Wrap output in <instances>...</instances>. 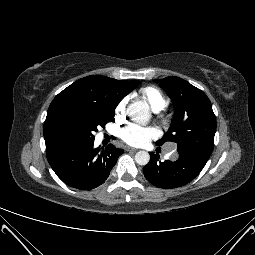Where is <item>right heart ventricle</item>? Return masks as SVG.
Returning <instances> with one entry per match:
<instances>
[{
    "mask_svg": "<svg viewBox=\"0 0 255 255\" xmlns=\"http://www.w3.org/2000/svg\"><path fill=\"white\" fill-rule=\"evenodd\" d=\"M140 97L145 100L154 111H160L168 104L167 98L157 88L147 86L140 90Z\"/></svg>",
    "mask_w": 255,
    "mask_h": 255,
    "instance_id": "obj_1",
    "label": "right heart ventricle"
}]
</instances>
